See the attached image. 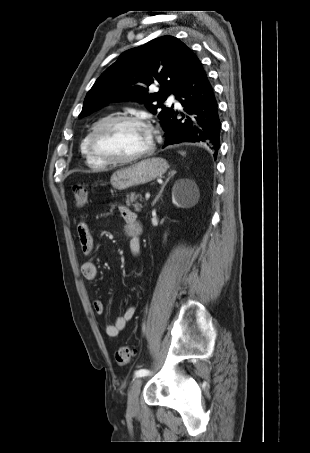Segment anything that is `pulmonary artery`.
<instances>
[{"mask_svg": "<svg viewBox=\"0 0 310 453\" xmlns=\"http://www.w3.org/2000/svg\"><path fill=\"white\" fill-rule=\"evenodd\" d=\"M169 100L172 101V102H175L177 105H179V103L174 99L173 96H170V97H169Z\"/></svg>", "mask_w": 310, "mask_h": 453, "instance_id": "pulmonary-artery-1", "label": "pulmonary artery"}]
</instances>
